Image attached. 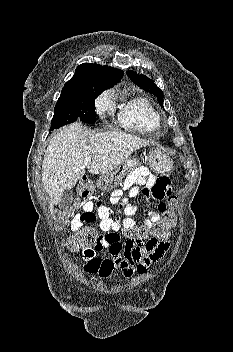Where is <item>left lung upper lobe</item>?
<instances>
[{"label": "left lung upper lobe", "mask_w": 233, "mask_h": 352, "mask_svg": "<svg viewBox=\"0 0 233 352\" xmlns=\"http://www.w3.org/2000/svg\"><path fill=\"white\" fill-rule=\"evenodd\" d=\"M126 73L128 74V77H130V79L140 88L155 95L160 106L163 107V91L157 87L153 80L149 79L145 75L137 74V72L134 71H127Z\"/></svg>", "instance_id": "1"}]
</instances>
